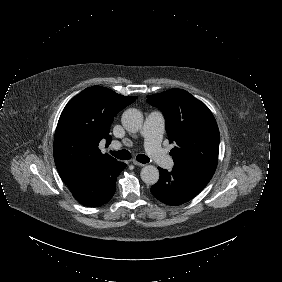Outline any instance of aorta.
Segmentation results:
<instances>
[{"instance_id":"762f6f07","label":"aorta","mask_w":282,"mask_h":282,"mask_svg":"<svg viewBox=\"0 0 282 282\" xmlns=\"http://www.w3.org/2000/svg\"><path fill=\"white\" fill-rule=\"evenodd\" d=\"M121 120L126 130L136 132L142 125L143 114L137 108H128L123 112ZM159 178L160 173L155 166H145L141 171V179L147 185H155Z\"/></svg>"}]
</instances>
